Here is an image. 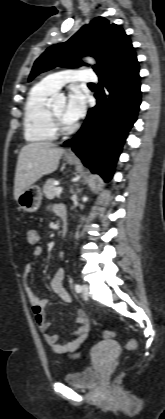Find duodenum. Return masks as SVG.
<instances>
[{
    "instance_id": "duodenum-1",
    "label": "duodenum",
    "mask_w": 165,
    "mask_h": 419,
    "mask_svg": "<svg viewBox=\"0 0 165 419\" xmlns=\"http://www.w3.org/2000/svg\"><path fill=\"white\" fill-rule=\"evenodd\" d=\"M57 214L59 215L60 219H61V234L65 235L68 229V222H67V214L65 209L63 208H59L57 210Z\"/></svg>"
}]
</instances>
